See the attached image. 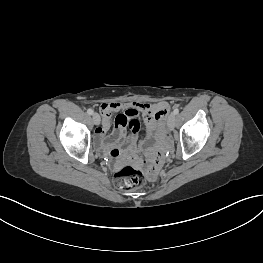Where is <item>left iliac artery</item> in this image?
Instances as JSON below:
<instances>
[{"instance_id":"left-iliac-artery-1","label":"left iliac artery","mask_w":263,"mask_h":263,"mask_svg":"<svg viewBox=\"0 0 263 263\" xmlns=\"http://www.w3.org/2000/svg\"><path fill=\"white\" fill-rule=\"evenodd\" d=\"M173 113H174L175 115H177V114L179 113V109H178V108H175L174 111H173Z\"/></svg>"}]
</instances>
